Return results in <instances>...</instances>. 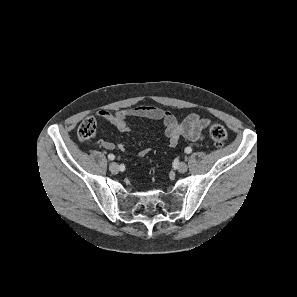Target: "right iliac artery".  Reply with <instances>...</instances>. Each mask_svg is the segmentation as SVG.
<instances>
[{
  "mask_svg": "<svg viewBox=\"0 0 297 297\" xmlns=\"http://www.w3.org/2000/svg\"><path fill=\"white\" fill-rule=\"evenodd\" d=\"M108 159H109V160H114V159H115V156H114L113 154H109V155H108Z\"/></svg>",
  "mask_w": 297,
  "mask_h": 297,
  "instance_id": "82829eb1",
  "label": "right iliac artery"
}]
</instances>
